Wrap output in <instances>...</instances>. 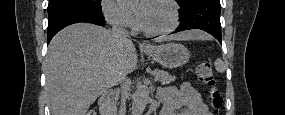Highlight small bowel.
I'll return each mask as SVG.
<instances>
[{"label": "small bowel", "instance_id": "1", "mask_svg": "<svg viewBox=\"0 0 285 115\" xmlns=\"http://www.w3.org/2000/svg\"><path fill=\"white\" fill-rule=\"evenodd\" d=\"M159 97L163 101L160 115L210 114L200 93L190 83H184L180 88H165Z\"/></svg>", "mask_w": 285, "mask_h": 115}]
</instances>
